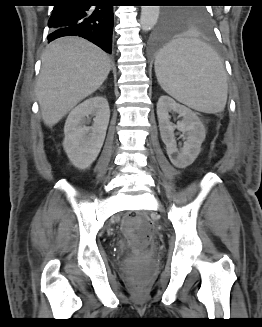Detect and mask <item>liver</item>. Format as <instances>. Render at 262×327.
<instances>
[{"label": "liver", "mask_w": 262, "mask_h": 327, "mask_svg": "<svg viewBox=\"0 0 262 327\" xmlns=\"http://www.w3.org/2000/svg\"><path fill=\"white\" fill-rule=\"evenodd\" d=\"M111 62L105 52L79 37H61L42 55L36 96L45 125L57 124L106 80Z\"/></svg>", "instance_id": "1"}]
</instances>
